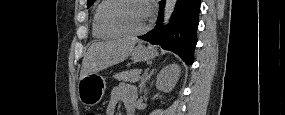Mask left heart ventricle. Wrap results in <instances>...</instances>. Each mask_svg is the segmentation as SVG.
<instances>
[{
	"mask_svg": "<svg viewBox=\"0 0 285 115\" xmlns=\"http://www.w3.org/2000/svg\"><path fill=\"white\" fill-rule=\"evenodd\" d=\"M111 18L128 31H138L147 22V8L139 1H127L111 12Z\"/></svg>",
	"mask_w": 285,
	"mask_h": 115,
	"instance_id": "1",
	"label": "left heart ventricle"
}]
</instances>
